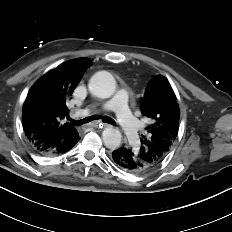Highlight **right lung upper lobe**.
<instances>
[{
	"label": "right lung upper lobe",
	"mask_w": 232,
	"mask_h": 232,
	"mask_svg": "<svg viewBox=\"0 0 232 232\" xmlns=\"http://www.w3.org/2000/svg\"><path fill=\"white\" fill-rule=\"evenodd\" d=\"M92 59L78 58L60 64L39 78L23 105L25 135L39 153L62 154L79 140L77 130L65 122L66 103Z\"/></svg>",
	"instance_id": "cb5924a9"
}]
</instances>
